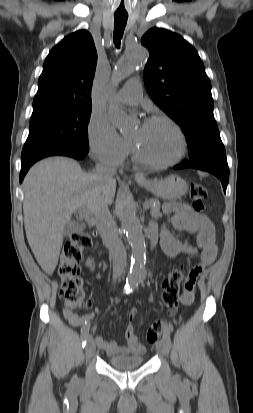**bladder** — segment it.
Here are the masks:
<instances>
[{
    "label": "bladder",
    "instance_id": "31cf9c89",
    "mask_svg": "<svg viewBox=\"0 0 253 413\" xmlns=\"http://www.w3.org/2000/svg\"><path fill=\"white\" fill-rule=\"evenodd\" d=\"M108 363L118 370H130L140 367L144 363V358L137 354L119 355L110 357Z\"/></svg>",
    "mask_w": 253,
    "mask_h": 413
}]
</instances>
